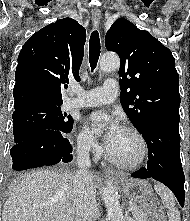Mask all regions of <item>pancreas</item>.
I'll return each mask as SVG.
<instances>
[{
    "label": "pancreas",
    "instance_id": "1",
    "mask_svg": "<svg viewBox=\"0 0 190 221\" xmlns=\"http://www.w3.org/2000/svg\"><path fill=\"white\" fill-rule=\"evenodd\" d=\"M132 215L135 221H149L147 214L138 206L132 211Z\"/></svg>",
    "mask_w": 190,
    "mask_h": 221
}]
</instances>
